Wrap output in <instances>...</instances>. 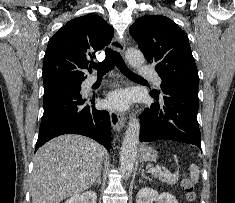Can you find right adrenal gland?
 Listing matches in <instances>:
<instances>
[{"label":"right adrenal gland","mask_w":235,"mask_h":203,"mask_svg":"<svg viewBox=\"0 0 235 203\" xmlns=\"http://www.w3.org/2000/svg\"><path fill=\"white\" fill-rule=\"evenodd\" d=\"M96 184H98V185L101 184V174H99V176H98L97 179L95 180L94 185H96Z\"/></svg>","instance_id":"obj_1"}]
</instances>
